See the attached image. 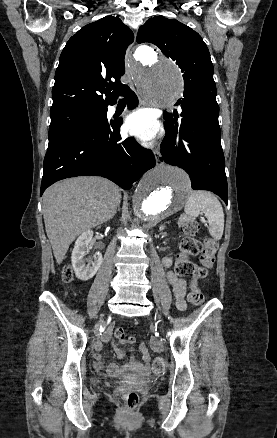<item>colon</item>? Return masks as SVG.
Wrapping results in <instances>:
<instances>
[{
	"mask_svg": "<svg viewBox=\"0 0 277 438\" xmlns=\"http://www.w3.org/2000/svg\"><path fill=\"white\" fill-rule=\"evenodd\" d=\"M180 229L183 234L180 247L179 256L175 262V270L180 277H190L193 281H198L206 276L207 271L212 268L214 264V257L216 252V242L212 237L198 236L200 225L198 222L183 218L180 220ZM199 256L200 265L194 263L191 258ZM65 274L71 278L69 269H65ZM188 300L194 305L203 302L202 291L193 284L188 294ZM115 336L127 343H133L132 338L125 335V331L118 327L114 330ZM165 368V360L158 356L154 360V371L162 373ZM118 396L123 399L124 409H139L140 408V394L137 389H120Z\"/></svg>",
	"mask_w": 277,
	"mask_h": 438,
	"instance_id": "obj_1",
	"label": "colon"
}]
</instances>
